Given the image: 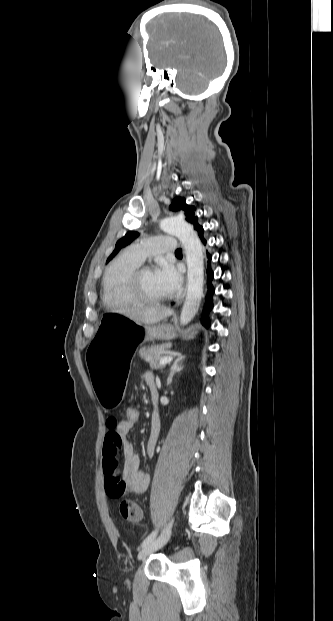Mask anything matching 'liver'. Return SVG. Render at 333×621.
I'll return each instance as SVG.
<instances>
[{
    "label": "liver",
    "instance_id": "6515ba94",
    "mask_svg": "<svg viewBox=\"0 0 333 621\" xmlns=\"http://www.w3.org/2000/svg\"><path fill=\"white\" fill-rule=\"evenodd\" d=\"M122 313L136 323L149 325L167 318L172 314V310L163 306H153L143 309H128Z\"/></svg>",
    "mask_w": 333,
    "mask_h": 621
}]
</instances>
